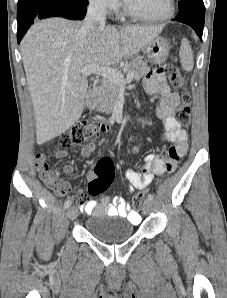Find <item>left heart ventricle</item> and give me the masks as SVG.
<instances>
[{
    "instance_id": "left-heart-ventricle-1",
    "label": "left heart ventricle",
    "mask_w": 227,
    "mask_h": 298,
    "mask_svg": "<svg viewBox=\"0 0 227 298\" xmlns=\"http://www.w3.org/2000/svg\"><path fill=\"white\" fill-rule=\"evenodd\" d=\"M135 13L143 16H160L168 9V0H125Z\"/></svg>"
}]
</instances>
